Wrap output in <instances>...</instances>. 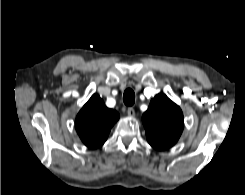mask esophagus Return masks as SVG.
<instances>
[{
  "label": "esophagus",
  "instance_id": "1",
  "mask_svg": "<svg viewBox=\"0 0 245 195\" xmlns=\"http://www.w3.org/2000/svg\"><path fill=\"white\" fill-rule=\"evenodd\" d=\"M127 114H128V116H130V117H134V116H135V110H134V108L129 107V108L127 109Z\"/></svg>",
  "mask_w": 245,
  "mask_h": 195
}]
</instances>
